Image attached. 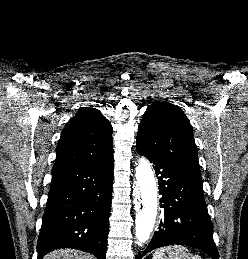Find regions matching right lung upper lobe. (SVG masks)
Returning a JSON list of instances; mask_svg holds the SVG:
<instances>
[{
  "mask_svg": "<svg viewBox=\"0 0 248 259\" xmlns=\"http://www.w3.org/2000/svg\"><path fill=\"white\" fill-rule=\"evenodd\" d=\"M112 126L95 108H85L66 124L52 171L97 162L113 153Z\"/></svg>",
  "mask_w": 248,
  "mask_h": 259,
  "instance_id": "obj_1",
  "label": "right lung upper lobe"
}]
</instances>
